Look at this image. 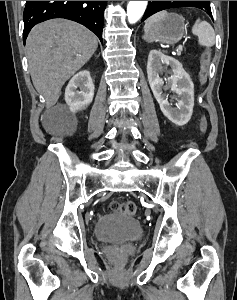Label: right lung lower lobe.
I'll return each mask as SVG.
<instances>
[{"mask_svg":"<svg viewBox=\"0 0 237 300\" xmlns=\"http://www.w3.org/2000/svg\"><path fill=\"white\" fill-rule=\"evenodd\" d=\"M106 5V1H27L23 15V40L25 42L34 25L48 19L65 18L86 26L102 41Z\"/></svg>","mask_w":237,"mask_h":300,"instance_id":"right-lung-lower-lobe-1","label":"right lung lower lobe"}]
</instances>
